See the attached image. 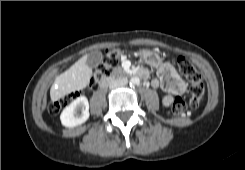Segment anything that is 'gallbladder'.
I'll use <instances>...</instances> for the list:
<instances>
[{
    "instance_id": "obj_1",
    "label": "gallbladder",
    "mask_w": 245,
    "mask_h": 170,
    "mask_svg": "<svg viewBox=\"0 0 245 170\" xmlns=\"http://www.w3.org/2000/svg\"><path fill=\"white\" fill-rule=\"evenodd\" d=\"M102 60V53L100 51H92L88 54L86 64L91 67H97Z\"/></svg>"
}]
</instances>
